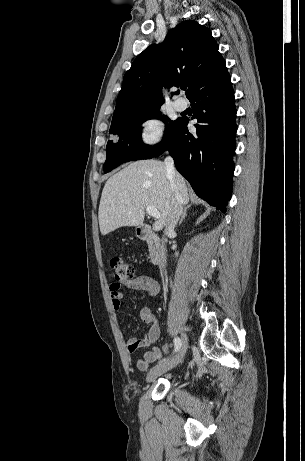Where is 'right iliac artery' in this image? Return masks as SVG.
Listing matches in <instances>:
<instances>
[{
    "instance_id": "right-iliac-artery-1",
    "label": "right iliac artery",
    "mask_w": 305,
    "mask_h": 461,
    "mask_svg": "<svg viewBox=\"0 0 305 461\" xmlns=\"http://www.w3.org/2000/svg\"><path fill=\"white\" fill-rule=\"evenodd\" d=\"M174 345H175V349H174V352L178 351L180 349V347L182 346V341L179 337H175L174 338ZM166 359H163V361H165Z\"/></svg>"
}]
</instances>
